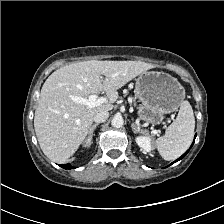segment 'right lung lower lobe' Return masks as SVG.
<instances>
[{
  "mask_svg": "<svg viewBox=\"0 0 224 224\" xmlns=\"http://www.w3.org/2000/svg\"><path fill=\"white\" fill-rule=\"evenodd\" d=\"M62 168L64 169H71V165L70 164H64V165H60Z\"/></svg>",
  "mask_w": 224,
  "mask_h": 224,
  "instance_id": "1",
  "label": "right lung lower lobe"
}]
</instances>
